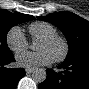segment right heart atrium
<instances>
[{"label": "right heart atrium", "mask_w": 89, "mask_h": 89, "mask_svg": "<svg viewBox=\"0 0 89 89\" xmlns=\"http://www.w3.org/2000/svg\"><path fill=\"white\" fill-rule=\"evenodd\" d=\"M6 43L15 54L25 51L29 46L24 33L18 26L12 27L7 32Z\"/></svg>", "instance_id": "obj_1"}]
</instances>
